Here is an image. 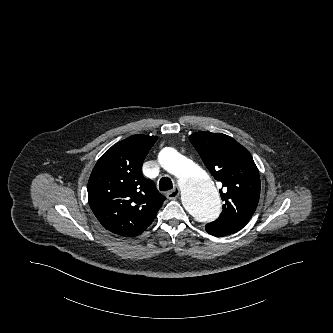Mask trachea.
<instances>
[{"mask_svg":"<svg viewBox=\"0 0 333 333\" xmlns=\"http://www.w3.org/2000/svg\"><path fill=\"white\" fill-rule=\"evenodd\" d=\"M159 188L161 191H168L173 188V184L170 178L163 177L159 181Z\"/></svg>","mask_w":333,"mask_h":333,"instance_id":"trachea-1","label":"trachea"}]
</instances>
